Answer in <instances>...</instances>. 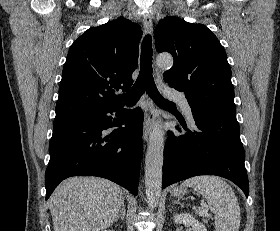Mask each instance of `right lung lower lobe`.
Instances as JSON below:
<instances>
[{
  "label": "right lung lower lobe",
  "mask_w": 280,
  "mask_h": 231,
  "mask_svg": "<svg viewBox=\"0 0 280 231\" xmlns=\"http://www.w3.org/2000/svg\"><path fill=\"white\" fill-rule=\"evenodd\" d=\"M116 112V118L108 113ZM116 122V123H114ZM117 126L109 136L102 133ZM143 112L123 105L55 121L45 173L46 200L64 179L99 176L137 194L142 158Z\"/></svg>",
  "instance_id": "98d812e1"
}]
</instances>
